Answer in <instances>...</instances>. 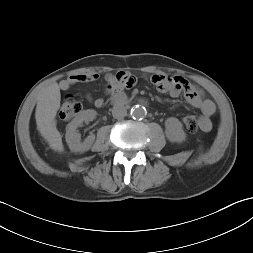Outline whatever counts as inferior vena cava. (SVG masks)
<instances>
[{"label":"inferior vena cava","instance_id":"1","mask_svg":"<svg viewBox=\"0 0 253 253\" xmlns=\"http://www.w3.org/2000/svg\"><path fill=\"white\" fill-rule=\"evenodd\" d=\"M126 114H127V110L122 105H116L112 109V115L116 119H121V118L125 117Z\"/></svg>","mask_w":253,"mask_h":253}]
</instances>
